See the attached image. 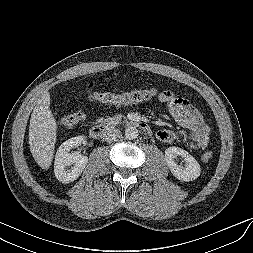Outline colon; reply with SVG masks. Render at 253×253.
I'll use <instances>...</instances> for the list:
<instances>
[{"label":"colon","instance_id":"1","mask_svg":"<svg viewBox=\"0 0 253 253\" xmlns=\"http://www.w3.org/2000/svg\"><path fill=\"white\" fill-rule=\"evenodd\" d=\"M156 90L135 89L127 92L113 93L105 91L92 92V99L98 104L106 106H120L131 103L144 102L153 99L156 96ZM82 113H69L61 117L60 124L64 128H71L82 120ZM213 157L212 151H207L202 155L204 161H209Z\"/></svg>","mask_w":253,"mask_h":253}]
</instances>
